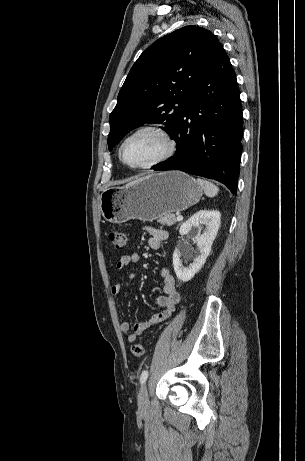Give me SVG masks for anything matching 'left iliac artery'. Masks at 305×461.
Returning a JSON list of instances; mask_svg holds the SVG:
<instances>
[{
  "label": "left iliac artery",
  "mask_w": 305,
  "mask_h": 461,
  "mask_svg": "<svg viewBox=\"0 0 305 461\" xmlns=\"http://www.w3.org/2000/svg\"><path fill=\"white\" fill-rule=\"evenodd\" d=\"M148 378V370H144L140 376V383L144 384Z\"/></svg>",
  "instance_id": "obj_1"
}]
</instances>
